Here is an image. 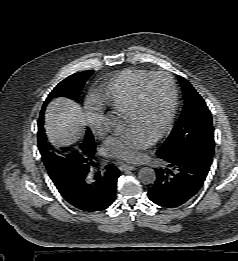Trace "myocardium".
<instances>
[{"label":"myocardium","mask_w":238,"mask_h":261,"mask_svg":"<svg viewBox=\"0 0 238 261\" xmlns=\"http://www.w3.org/2000/svg\"><path fill=\"white\" fill-rule=\"evenodd\" d=\"M156 78H164L168 82L169 89H170V108L164 124L153 137L154 141L159 140L168 132V130L171 128L173 124L176 115L177 106H178V89L174 77L168 72H164V71H158L149 74L139 84L136 90L134 101L127 111L128 113H138L141 110L146 87L153 79Z\"/></svg>","instance_id":"1"}]
</instances>
